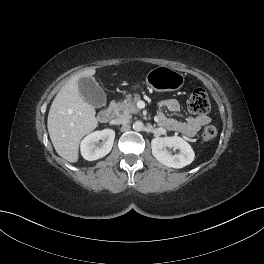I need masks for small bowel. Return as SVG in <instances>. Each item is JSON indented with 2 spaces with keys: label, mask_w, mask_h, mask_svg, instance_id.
Here are the masks:
<instances>
[{
  "label": "small bowel",
  "mask_w": 264,
  "mask_h": 264,
  "mask_svg": "<svg viewBox=\"0 0 264 264\" xmlns=\"http://www.w3.org/2000/svg\"><path fill=\"white\" fill-rule=\"evenodd\" d=\"M158 106L160 109L157 115L158 123L169 131L179 132L188 137L195 136L202 126L211 121L208 115L188 117L184 121L167 117L162 110L166 109L171 112L180 111V105L174 99H163L159 101Z\"/></svg>",
  "instance_id": "obj_1"
}]
</instances>
